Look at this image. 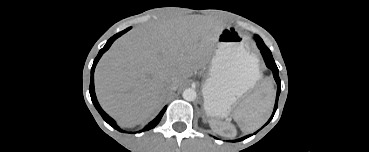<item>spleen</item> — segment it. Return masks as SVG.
I'll list each match as a JSON object with an SVG mask.
<instances>
[{
    "mask_svg": "<svg viewBox=\"0 0 369 152\" xmlns=\"http://www.w3.org/2000/svg\"><path fill=\"white\" fill-rule=\"evenodd\" d=\"M275 100L272 85L264 84L258 91L249 96L234 111L233 118L242 131L253 132L269 117Z\"/></svg>",
    "mask_w": 369,
    "mask_h": 152,
    "instance_id": "obj_1",
    "label": "spleen"
}]
</instances>
